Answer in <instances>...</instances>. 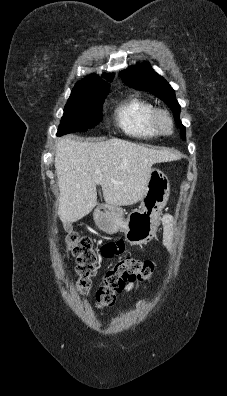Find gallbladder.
Listing matches in <instances>:
<instances>
[{
    "instance_id": "gallbladder-1",
    "label": "gallbladder",
    "mask_w": 227,
    "mask_h": 396,
    "mask_svg": "<svg viewBox=\"0 0 227 396\" xmlns=\"http://www.w3.org/2000/svg\"><path fill=\"white\" fill-rule=\"evenodd\" d=\"M64 229L66 232H70L72 230V226L69 223H64Z\"/></svg>"
}]
</instances>
